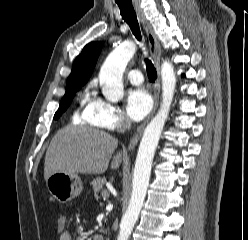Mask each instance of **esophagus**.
Wrapping results in <instances>:
<instances>
[{"instance_id": "esophagus-1", "label": "esophagus", "mask_w": 248, "mask_h": 240, "mask_svg": "<svg viewBox=\"0 0 248 240\" xmlns=\"http://www.w3.org/2000/svg\"><path fill=\"white\" fill-rule=\"evenodd\" d=\"M135 10L138 14V17L143 25V28L146 32L148 42H149V48H150V53L152 54L155 64H156V69H157V80L154 86V106L151 114L149 117L138 127L136 130L135 134L131 138L128 149L132 150L136 147L138 141L141 138L142 132L144 130L145 125L148 123L149 119L153 116L155 113L157 107H158V102H159V95H160V58H161V46L160 43L158 42L155 34L153 33V30L147 21L141 7L138 4H135Z\"/></svg>"}]
</instances>
